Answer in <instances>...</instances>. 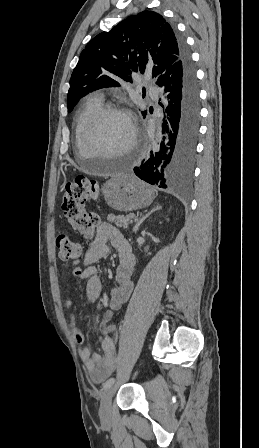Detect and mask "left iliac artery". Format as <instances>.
I'll use <instances>...</instances> for the list:
<instances>
[{"instance_id": "1", "label": "left iliac artery", "mask_w": 259, "mask_h": 448, "mask_svg": "<svg viewBox=\"0 0 259 448\" xmlns=\"http://www.w3.org/2000/svg\"><path fill=\"white\" fill-rule=\"evenodd\" d=\"M118 338V333H116L115 335V341H117ZM115 379L114 378H110L108 379L104 384H103V389H107L110 386H112L114 384Z\"/></svg>"}]
</instances>
